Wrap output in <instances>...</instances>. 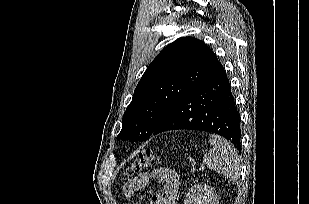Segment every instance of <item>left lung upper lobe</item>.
Instances as JSON below:
<instances>
[{"label":"left lung upper lobe","mask_w":309,"mask_h":204,"mask_svg":"<svg viewBox=\"0 0 309 204\" xmlns=\"http://www.w3.org/2000/svg\"><path fill=\"white\" fill-rule=\"evenodd\" d=\"M221 68L215 53L194 37L169 44L140 79L117 138L145 141L174 105Z\"/></svg>","instance_id":"1"}]
</instances>
